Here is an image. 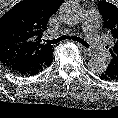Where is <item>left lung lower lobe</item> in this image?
<instances>
[{"instance_id":"left-lung-lower-lobe-1","label":"left lung lower lobe","mask_w":118,"mask_h":118,"mask_svg":"<svg viewBox=\"0 0 118 118\" xmlns=\"http://www.w3.org/2000/svg\"><path fill=\"white\" fill-rule=\"evenodd\" d=\"M101 79H104V80H108V81H113L110 77H108L107 75H105V73H102L100 75Z\"/></svg>"}]
</instances>
